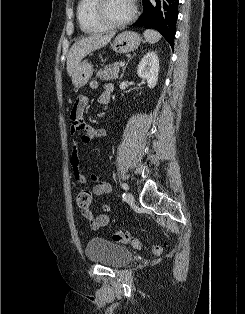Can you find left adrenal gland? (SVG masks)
I'll return each mask as SVG.
<instances>
[{
    "mask_svg": "<svg viewBox=\"0 0 245 314\" xmlns=\"http://www.w3.org/2000/svg\"><path fill=\"white\" fill-rule=\"evenodd\" d=\"M135 55H136V53H134V54L132 55V57H130V58L128 59V62L126 63L125 67L123 68V72H122V74H121V76H120V80H121V79L123 78V76H124V72H125V69H126L128 63H129V61H130Z\"/></svg>",
    "mask_w": 245,
    "mask_h": 314,
    "instance_id": "a2214340",
    "label": "left adrenal gland"
}]
</instances>
